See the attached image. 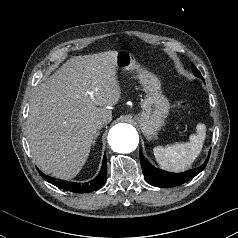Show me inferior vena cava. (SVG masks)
Returning a JSON list of instances; mask_svg holds the SVG:
<instances>
[{
    "instance_id": "inferior-vena-cava-1",
    "label": "inferior vena cava",
    "mask_w": 238,
    "mask_h": 238,
    "mask_svg": "<svg viewBox=\"0 0 238 238\" xmlns=\"http://www.w3.org/2000/svg\"><path fill=\"white\" fill-rule=\"evenodd\" d=\"M106 123H107L106 120H99L96 125H97L98 128H100V126H102V125H104Z\"/></svg>"
}]
</instances>
